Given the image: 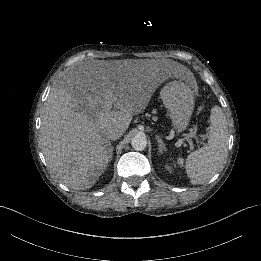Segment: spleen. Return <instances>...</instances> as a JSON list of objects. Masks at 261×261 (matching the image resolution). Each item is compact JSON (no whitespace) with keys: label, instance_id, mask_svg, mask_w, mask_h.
Segmentation results:
<instances>
[{"label":"spleen","instance_id":"1","mask_svg":"<svg viewBox=\"0 0 261 261\" xmlns=\"http://www.w3.org/2000/svg\"><path fill=\"white\" fill-rule=\"evenodd\" d=\"M228 123L219 106L211 109L207 144L185 159L176 158V164L184 168L192 185L208 182L224 165L228 152Z\"/></svg>","mask_w":261,"mask_h":261}]
</instances>
